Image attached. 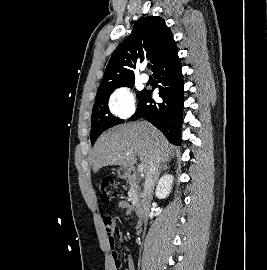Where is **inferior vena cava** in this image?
<instances>
[{
	"instance_id": "602c4592",
	"label": "inferior vena cava",
	"mask_w": 267,
	"mask_h": 270,
	"mask_svg": "<svg viewBox=\"0 0 267 270\" xmlns=\"http://www.w3.org/2000/svg\"><path fill=\"white\" fill-rule=\"evenodd\" d=\"M160 168V159L157 153L151 158L149 168L146 173V180L144 183V191L142 195L141 211L147 220L150 203L153 196L155 183L158 181Z\"/></svg>"
}]
</instances>
